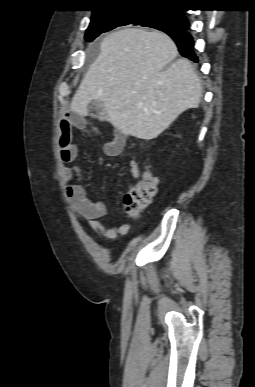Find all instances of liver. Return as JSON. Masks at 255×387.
Returning a JSON list of instances; mask_svg holds the SVG:
<instances>
[{"instance_id": "6515ba94", "label": "liver", "mask_w": 255, "mask_h": 387, "mask_svg": "<svg viewBox=\"0 0 255 387\" xmlns=\"http://www.w3.org/2000/svg\"><path fill=\"white\" fill-rule=\"evenodd\" d=\"M100 50L72 98L73 112L87 116L89 103L101 102L99 120L124 135L151 140L198 107L200 79L188 60L174 61L177 47L165 33L121 29L107 35Z\"/></svg>"}]
</instances>
